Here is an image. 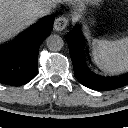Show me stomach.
I'll use <instances>...</instances> for the list:
<instances>
[{"instance_id":"0dacf381","label":"stomach","mask_w":128,"mask_h":128,"mask_svg":"<svg viewBox=\"0 0 128 128\" xmlns=\"http://www.w3.org/2000/svg\"><path fill=\"white\" fill-rule=\"evenodd\" d=\"M100 1H101V0H87V2H88L89 4H92V5L98 4ZM92 22H94V21L91 20V24H92Z\"/></svg>"}]
</instances>
